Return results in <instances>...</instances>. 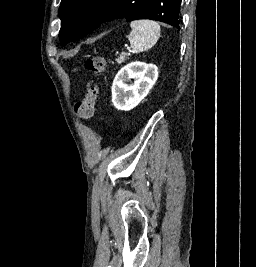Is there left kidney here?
Masks as SVG:
<instances>
[{
    "label": "left kidney",
    "mask_w": 256,
    "mask_h": 267,
    "mask_svg": "<svg viewBox=\"0 0 256 267\" xmlns=\"http://www.w3.org/2000/svg\"><path fill=\"white\" fill-rule=\"evenodd\" d=\"M131 80H134L131 84ZM158 80V68L145 62H131L116 74L112 86V102L117 110H132L144 100ZM130 82V84H127Z\"/></svg>",
    "instance_id": "5707ae66"
}]
</instances>
